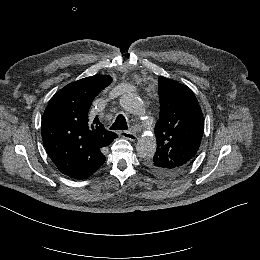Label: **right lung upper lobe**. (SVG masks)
I'll list each match as a JSON object with an SVG mask.
<instances>
[{
	"instance_id": "cb5924a9",
	"label": "right lung upper lobe",
	"mask_w": 260,
	"mask_h": 260,
	"mask_svg": "<svg viewBox=\"0 0 260 260\" xmlns=\"http://www.w3.org/2000/svg\"><path fill=\"white\" fill-rule=\"evenodd\" d=\"M111 81L108 75H96L70 83L51 98L43 114L45 148L56 167L71 178L96 172L105 162L104 147L118 137L88 114L93 99Z\"/></svg>"
}]
</instances>
